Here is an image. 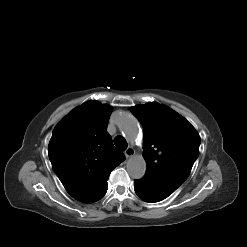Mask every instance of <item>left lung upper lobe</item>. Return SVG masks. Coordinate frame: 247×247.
<instances>
[{
	"instance_id": "1",
	"label": "left lung upper lobe",
	"mask_w": 247,
	"mask_h": 247,
	"mask_svg": "<svg viewBox=\"0 0 247 247\" xmlns=\"http://www.w3.org/2000/svg\"><path fill=\"white\" fill-rule=\"evenodd\" d=\"M143 126L144 178L172 194L188 177L199 155L200 136L192 124L167 106L131 107Z\"/></svg>"
}]
</instances>
